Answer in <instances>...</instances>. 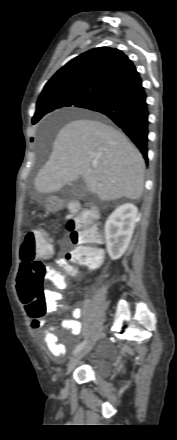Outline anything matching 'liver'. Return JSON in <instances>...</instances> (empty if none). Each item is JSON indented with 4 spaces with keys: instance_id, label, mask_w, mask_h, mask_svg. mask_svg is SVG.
Segmentation results:
<instances>
[{
    "instance_id": "1",
    "label": "liver",
    "mask_w": 177,
    "mask_h": 440,
    "mask_svg": "<svg viewBox=\"0 0 177 440\" xmlns=\"http://www.w3.org/2000/svg\"><path fill=\"white\" fill-rule=\"evenodd\" d=\"M144 170L142 155L123 133L98 120L77 119L58 132L34 183L50 194L82 176L102 201L134 200L142 195Z\"/></svg>"
}]
</instances>
